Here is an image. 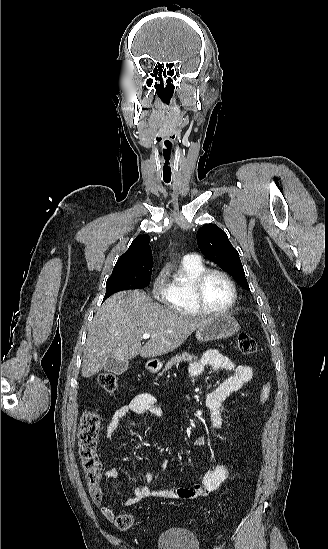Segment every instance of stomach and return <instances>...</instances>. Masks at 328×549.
Segmentation results:
<instances>
[{"instance_id":"1","label":"stomach","mask_w":328,"mask_h":549,"mask_svg":"<svg viewBox=\"0 0 328 549\" xmlns=\"http://www.w3.org/2000/svg\"><path fill=\"white\" fill-rule=\"evenodd\" d=\"M241 327L236 321L235 317L227 315V313H222V315H213L208 319V323L204 327H200L196 331L197 341H216V339H228L232 335H236L240 331ZM147 367L151 373H158L162 367L159 359H152L148 361Z\"/></svg>"}]
</instances>
